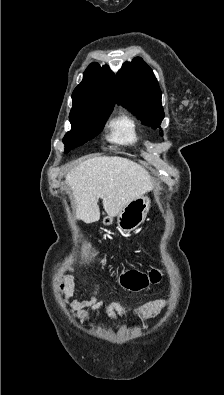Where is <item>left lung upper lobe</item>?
I'll return each mask as SVG.
<instances>
[{
  "mask_svg": "<svg viewBox=\"0 0 224 395\" xmlns=\"http://www.w3.org/2000/svg\"><path fill=\"white\" fill-rule=\"evenodd\" d=\"M161 96L153 71L141 58L123 64L116 76V101L153 129L164 118Z\"/></svg>",
  "mask_w": 224,
  "mask_h": 395,
  "instance_id": "left-lung-upper-lobe-1",
  "label": "left lung upper lobe"
}]
</instances>
